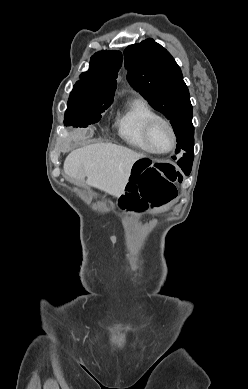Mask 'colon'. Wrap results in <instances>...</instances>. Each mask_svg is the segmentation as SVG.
<instances>
[{
	"instance_id": "colon-1",
	"label": "colon",
	"mask_w": 248,
	"mask_h": 389,
	"mask_svg": "<svg viewBox=\"0 0 248 389\" xmlns=\"http://www.w3.org/2000/svg\"><path fill=\"white\" fill-rule=\"evenodd\" d=\"M181 181L182 175L171 161L153 163L151 157H138L125 192L118 196V204L124 210L135 212H146L150 206L160 207L176 197V185Z\"/></svg>"
}]
</instances>
